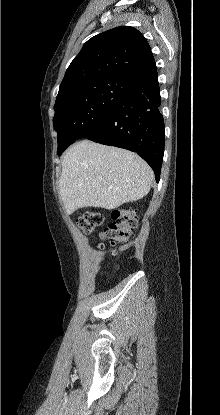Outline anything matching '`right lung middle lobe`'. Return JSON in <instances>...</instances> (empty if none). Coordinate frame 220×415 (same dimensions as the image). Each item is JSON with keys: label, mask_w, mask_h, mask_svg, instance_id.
I'll use <instances>...</instances> for the list:
<instances>
[{"label": "right lung middle lobe", "mask_w": 220, "mask_h": 415, "mask_svg": "<svg viewBox=\"0 0 220 415\" xmlns=\"http://www.w3.org/2000/svg\"><path fill=\"white\" fill-rule=\"evenodd\" d=\"M136 86L117 78L80 82L57 95L53 125L58 133V150L90 136L102 125L108 112Z\"/></svg>", "instance_id": "dd1d6c3e"}]
</instances>
